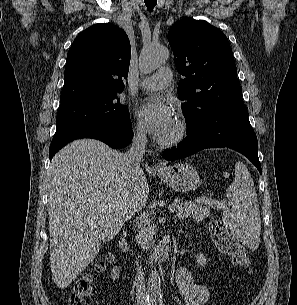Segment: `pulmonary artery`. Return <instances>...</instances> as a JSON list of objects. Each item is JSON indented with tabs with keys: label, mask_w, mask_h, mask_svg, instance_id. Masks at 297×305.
Instances as JSON below:
<instances>
[{
	"label": "pulmonary artery",
	"mask_w": 297,
	"mask_h": 305,
	"mask_svg": "<svg viewBox=\"0 0 297 305\" xmlns=\"http://www.w3.org/2000/svg\"><path fill=\"white\" fill-rule=\"evenodd\" d=\"M172 82L169 68H161L155 74L142 80L140 86L147 91H157L168 87Z\"/></svg>",
	"instance_id": "pulmonary-artery-1"
}]
</instances>
